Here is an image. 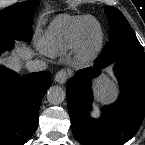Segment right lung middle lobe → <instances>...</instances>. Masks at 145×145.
I'll use <instances>...</instances> for the list:
<instances>
[{
    "instance_id": "1",
    "label": "right lung middle lobe",
    "mask_w": 145,
    "mask_h": 145,
    "mask_svg": "<svg viewBox=\"0 0 145 145\" xmlns=\"http://www.w3.org/2000/svg\"><path fill=\"white\" fill-rule=\"evenodd\" d=\"M36 8V2L25 1L0 10V54L6 49L10 50L15 39L31 40Z\"/></svg>"
}]
</instances>
